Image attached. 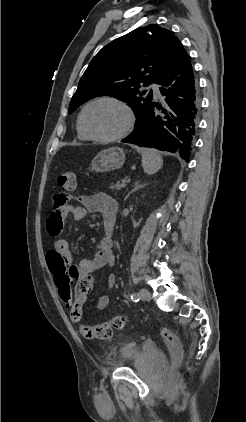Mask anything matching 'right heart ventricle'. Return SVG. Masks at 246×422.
Wrapping results in <instances>:
<instances>
[{"mask_svg": "<svg viewBox=\"0 0 246 422\" xmlns=\"http://www.w3.org/2000/svg\"><path fill=\"white\" fill-rule=\"evenodd\" d=\"M76 131H77V136L79 139L81 140H89V138L85 135V133L83 132L81 126H80V120L78 118L77 123H76Z\"/></svg>", "mask_w": 246, "mask_h": 422, "instance_id": "right-heart-ventricle-1", "label": "right heart ventricle"}]
</instances>
